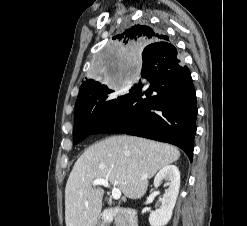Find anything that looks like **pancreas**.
Listing matches in <instances>:
<instances>
[{"label":"pancreas","instance_id":"cf45deb5","mask_svg":"<svg viewBox=\"0 0 247 226\" xmlns=\"http://www.w3.org/2000/svg\"><path fill=\"white\" fill-rule=\"evenodd\" d=\"M117 223H118V221L116 220V221H115L116 226H117Z\"/></svg>","mask_w":247,"mask_h":226}]
</instances>
